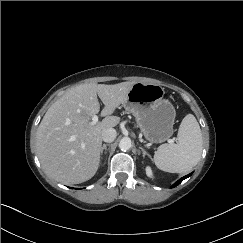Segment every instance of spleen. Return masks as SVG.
Here are the masks:
<instances>
[{
    "label": "spleen",
    "mask_w": 243,
    "mask_h": 243,
    "mask_svg": "<svg viewBox=\"0 0 243 243\" xmlns=\"http://www.w3.org/2000/svg\"><path fill=\"white\" fill-rule=\"evenodd\" d=\"M177 144H162L154 154L155 165L170 173H188L202 154V133L192 114L186 115L179 127Z\"/></svg>",
    "instance_id": "1"
}]
</instances>
